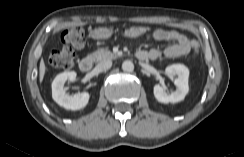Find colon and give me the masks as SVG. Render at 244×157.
I'll return each instance as SVG.
<instances>
[{"label":"colon","instance_id":"obj_1","mask_svg":"<svg viewBox=\"0 0 244 157\" xmlns=\"http://www.w3.org/2000/svg\"><path fill=\"white\" fill-rule=\"evenodd\" d=\"M149 32L150 29L146 26H131L124 29L122 35L127 38H135L145 36ZM60 38L64 46L50 54L49 62L54 68L70 70L74 65L75 49L81 48L85 43L84 32L80 27L64 28L60 32ZM191 48L193 52L199 53L200 44L193 40Z\"/></svg>","mask_w":244,"mask_h":157}]
</instances>
